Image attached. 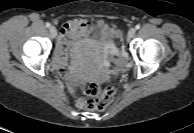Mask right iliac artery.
Here are the masks:
<instances>
[{
  "label": "right iliac artery",
  "instance_id": "1",
  "mask_svg": "<svg viewBox=\"0 0 194 133\" xmlns=\"http://www.w3.org/2000/svg\"><path fill=\"white\" fill-rule=\"evenodd\" d=\"M50 26H51V24L47 22L46 27L49 28Z\"/></svg>",
  "mask_w": 194,
  "mask_h": 133
}]
</instances>
